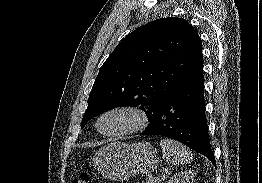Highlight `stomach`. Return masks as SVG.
Listing matches in <instances>:
<instances>
[{
    "instance_id": "0dacf381",
    "label": "stomach",
    "mask_w": 262,
    "mask_h": 183,
    "mask_svg": "<svg viewBox=\"0 0 262 183\" xmlns=\"http://www.w3.org/2000/svg\"><path fill=\"white\" fill-rule=\"evenodd\" d=\"M156 150L149 143L111 142L93 156V167L103 176L123 181L136 174L150 173L158 165Z\"/></svg>"
}]
</instances>
